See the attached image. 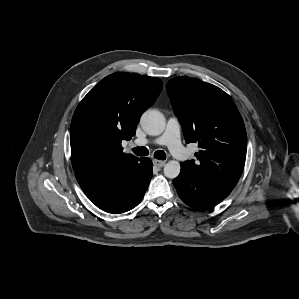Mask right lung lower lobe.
I'll use <instances>...</instances> for the list:
<instances>
[{"instance_id": "1", "label": "right lung lower lobe", "mask_w": 299, "mask_h": 299, "mask_svg": "<svg viewBox=\"0 0 299 299\" xmlns=\"http://www.w3.org/2000/svg\"><path fill=\"white\" fill-rule=\"evenodd\" d=\"M152 168L149 158H138L100 174L75 176L97 207L117 214L129 211L141 202L152 178Z\"/></svg>"}]
</instances>
